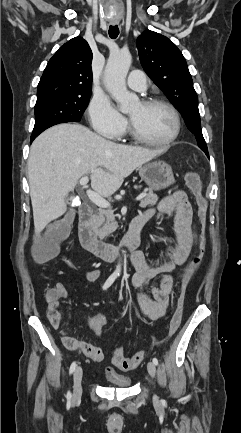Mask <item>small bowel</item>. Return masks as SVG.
I'll use <instances>...</instances> for the list:
<instances>
[{"label": "small bowel", "mask_w": 241, "mask_h": 433, "mask_svg": "<svg viewBox=\"0 0 241 433\" xmlns=\"http://www.w3.org/2000/svg\"><path fill=\"white\" fill-rule=\"evenodd\" d=\"M156 212L166 214L174 218V228L177 235L176 242L169 244L164 251L163 260L158 264H152L142 253L133 255L130 265L133 269L130 284L138 290L136 302L141 311L151 320L156 321L166 314L170 296L174 287V280L170 276L176 267L182 266L197 246V237L193 224L191 204L184 191L178 190L164 197L159 204L152 209L140 214L146 219L151 218ZM100 276L99 269L86 271V279L95 281ZM159 279L158 284H153L154 279ZM47 297V318L51 326L59 331L64 346L73 351L81 352L93 362H101L104 353L101 347L77 340L61 330V315L58 311L59 300L68 299L69 294L62 283H57ZM107 323L103 314L94 315L90 319V329L96 337L102 335Z\"/></svg>", "instance_id": "small-bowel-1"}]
</instances>
